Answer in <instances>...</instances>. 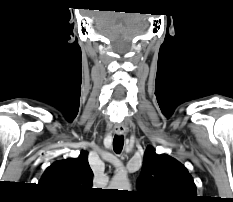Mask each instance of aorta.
Returning <instances> with one entry per match:
<instances>
[{
    "mask_svg": "<svg viewBox=\"0 0 233 202\" xmlns=\"http://www.w3.org/2000/svg\"><path fill=\"white\" fill-rule=\"evenodd\" d=\"M130 187L129 180L126 176H117L113 179L110 189L127 190Z\"/></svg>",
    "mask_w": 233,
    "mask_h": 202,
    "instance_id": "aorta-1",
    "label": "aorta"
}]
</instances>
